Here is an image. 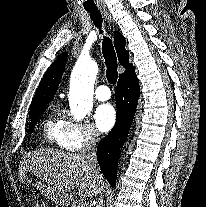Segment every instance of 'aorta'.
I'll list each match as a JSON object with an SVG mask.
<instances>
[{"label": "aorta", "instance_id": "762f6f07", "mask_svg": "<svg viewBox=\"0 0 206 207\" xmlns=\"http://www.w3.org/2000/svg\"><path fill=\"white\" fill-rule=\"evenodd\" d=\"M98 65L90 58L80 57L76 62L70 80L69 106L74 120L80 121L91 112L93 106V85Z\"/></svg>", "mask_w": 206, "mask_h": 207}]
</instances>
